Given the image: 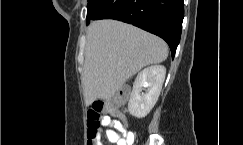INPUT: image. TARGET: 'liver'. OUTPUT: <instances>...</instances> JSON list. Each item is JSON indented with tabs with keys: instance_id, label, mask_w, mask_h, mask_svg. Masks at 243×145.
Returning a JSON list of instances; mask_svg holds the SVG:
<instances>
[{
	"instance_id": "liver-1",
	"label": "liver",
	"mask_w": 243,
	"mask_h": 145,
	"mask_svg": "<svg viewBox=\"0 0 243 145\" xmlns=\"http://www.w3.org/2000/svg\"><path fill=\"white\" fill-rule=\"evenodd\" d=\"M168 57L159 37L115 20L92 22L87 29L82 82L87 106L107 100L143 67Z\"/></svg>"
}]
</instances>
